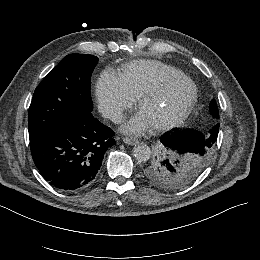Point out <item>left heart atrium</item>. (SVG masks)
<instances>
[{
  "instance_id": "left-heart-atrium-1",
  "label": "left heart atrium",
  "mask_w": 260,
  "mask_h": 260,
  "mask_svg": "<svg viewBox=\"0 0 260 260\" xmlns=\"http://www.w3.org/2000/svg\"><path fill=\"white\" fill-rule=\"evenodd\" d=\"M151 127V122L144 114L139 111L136 115L131 117L123 126V131L129 134H141Z\"/></svg>"
}]
</instances>
